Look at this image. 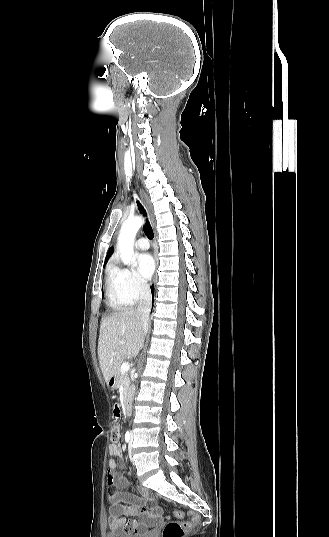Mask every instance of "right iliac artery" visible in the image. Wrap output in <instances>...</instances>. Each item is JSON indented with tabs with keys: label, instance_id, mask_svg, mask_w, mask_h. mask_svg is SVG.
<instances>
[{
	"label": "right iliac artery",
	"instance_id": "right-iliac-artery-1",
	"mask_svg": "<svg viewBox=\"0 0 329 537\" xmlns=\"http://www.w3.org/2000/svg\"><path fill=\"white\" fill-rule=\"evenodd\" d=\"M125 441H126V443H128L130 441V433H129V431H127L125 433Z\"/></svg>",
	"mask_w": 329,
	"mask_h": 537
}]
</instances>
